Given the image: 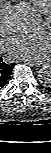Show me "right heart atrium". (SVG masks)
<instances>
[{
  "label": "right heart atrium",
  "mask_w": 51,
  "mask_h": 153,
  "mask_svg": "<svg viewBox=\"0 0 51 153\" xmlns=\"http://www.w3.org/2000/svg\"><path fill=\"white\" fill-rule=\"evenodd\" d=\"M7 15H8V7L3 6L0 10V29L5 31L7 29Z\"/></svg>",
  "instance_id": "obj_1"
}]
</instances>
